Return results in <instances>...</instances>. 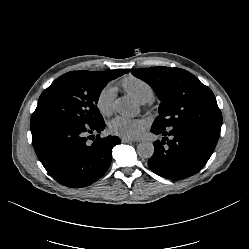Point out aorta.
I'll list each match as a JSON object with an SVG mask.
<instances>
[{
  "mask_svg": "<svg viewBox=\"0 0 249 249\" xmlns=\"http://www.w3.org/2000/svg\"><path fill=\"white\" fill-rule=\"evenodd\" d=\"M115 110L122 116L133 117L137 114V107L127 97H120L114 102ZM154 153V145L148 141H142L137 146V154L141 158H151Z\"/></svg>",
  "mask_w": 249,
  "mask_h": 249,
  "instance_id": "obj_1",
  "label": "aorta"
}]
</instances>
